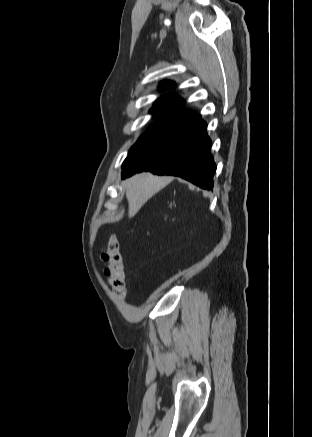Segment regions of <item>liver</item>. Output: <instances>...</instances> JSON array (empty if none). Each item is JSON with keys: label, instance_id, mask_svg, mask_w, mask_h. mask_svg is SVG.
<instances>
[{"label": "liver", "instance_id": "1", "mask_svg": "<svg viewBox=\"0 0 312 437\" xmlns=\"http://www.w3.org/2000/svg\"><path fill=\"white\" fill-rule=\"evenodd\" d=\"M172 177L142 173L125 180L128 216L133 217L153 195L167 186Z\"/></svg>", "mask_w": 312, "mask_h": 437}]
</instances>
